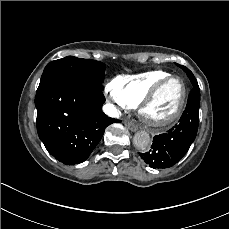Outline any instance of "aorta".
Listing matches in <instances>:
<instances>
[{"instance_id":"aorta-1","label":"aorta","mask_w":229,"mask_h":229,"mask_svg":"<svg viewBox=\"0 0 229 229\" xmlns=\"http://www.w3.org/2000/svg\"><path fill=\"white\" fill-rule=\"evenodd\" d=\"M133 143L139 150H146L150 145V135L146 131H139L134 135Z\"/></svg>"}]
</instances>
